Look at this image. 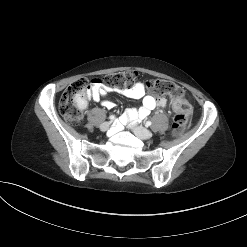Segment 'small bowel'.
I'll return each mask as SVG.
<instances>
[{
    "label": "small bowel",
    "mask_w": 247,
    "mask_h": 247,
    "mask_svg": "<svg viewBox=\"0 0 247 247\" xmlns=\"http://www.w3.org/2000/svg\"><path fill=\"white\" fill-rule=\"evenodd\" d=\"M110 91L111 89L109 87L99 83L97 79H94L91 81L88 97H91L95 102H101L105 108L112 109L114 103L103 100ZM117 92L130 99H142V105L139 108H128L120 117V121L124 124L131 121L142 120L155 108L165 107L167 105V99L165 97H154L146 94V88L142 82H135L129 87L117 89Z\"/></svg>",
    "instance_id": "1"
}]
</instances>
